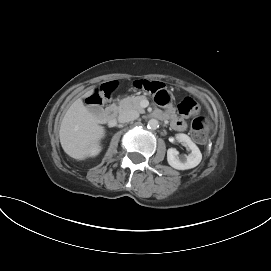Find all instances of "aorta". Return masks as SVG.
Returning a JSON list of instances; mask_svg holds the SVG:
<instances>
[{
  "label": "aorta",
  "instance_id": "aorta-1",
  "mask_svg": "<svg viewBox=\"0 0 271 271\" xmlns=\"http://www.w3.org/2000/svg\"><path fill=\"white\" fill-rule=\"evenodd\" d=\"M147 127H148L149 129H153V130L157 129V128L159 127L158 120H156V119H150V120L148 121Z\"/></svg>",
  "mask_w": 271,
  "mask_h": 271
}]
</instances>
